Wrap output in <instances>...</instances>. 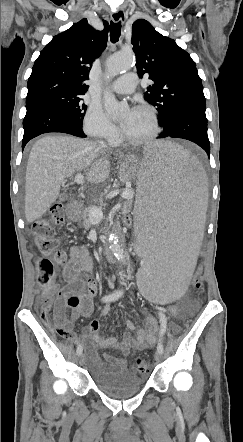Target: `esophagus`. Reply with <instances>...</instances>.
<instances>
[{"label":"esophagus","instance_id":"34e87169","mask_svg":"<svg viewBox=\"0 0 243 442\" xmlns=\"http://www.w3.org/2000/svg\"><path fill=\"white\" fill-rule=\"evenodd\" d=\"M111 18L114 23H117L119 21L123 23L125 21L124 10L122 8H117V9L113 10L111 13Z\"/></svg>","mask_w":243,"mask_h":442}]
</instances>
